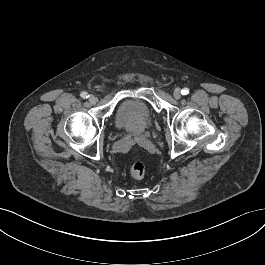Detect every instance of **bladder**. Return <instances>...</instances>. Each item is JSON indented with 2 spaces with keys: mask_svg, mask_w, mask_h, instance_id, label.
I'll use <instances>...</instances> for the list:
<instances>
[{
  "mask_svg": "<svg viewBox=\"0 0 265 265\" xmlns=\"http://www.w3.org/2000/svg\"><path fill=\"white\" fill-rule=\"evenodd\" d=\"M152 113L144 104L135 100H126L116 112V125L130 132H143L152 123Z\"/></svg>",
  "mask_w": 265,
  "mask_h": 265,
  "instance_id": "1",
  "label": "bladder"
}]
</instances>
